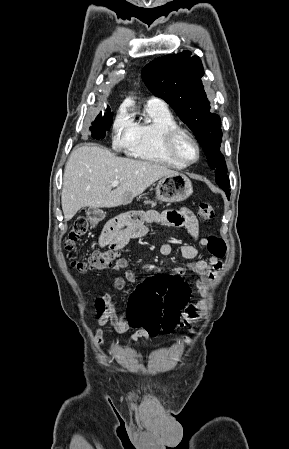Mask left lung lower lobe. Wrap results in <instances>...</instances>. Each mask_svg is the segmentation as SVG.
<instances>
[{"mask_svg":"<svg viewBox=\"0 0 289 449\" xmlns=\"http://www.w3.org/2000/svg\"><path fill=\"white\" fill-rule=\"evenodd\" d=\"M224 191L226 192V195H227V197H228V199H229V197H230V189L224 190Z\"/></svg>","mask_w":289,"mask_h":449,"instance_id":"1","label":"left lung lower lobe"}]
</instances>
